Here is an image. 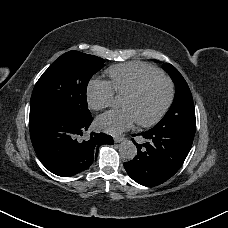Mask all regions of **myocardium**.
<instances>
[{
    "label": "myocardium",
    "mask_w": 228,
    "mask_h": 228,
    "mask_svg": "<svg viewBox=\"0 0 228 228\" xmlns=\"http://www.w3.org/2000/svg\"><path fill=\"white\" fill-rule=\"evenodd\" d=\"M158 81L164 82L167 86L166 98H165L161 108L159 109V111L153 118H151L148 121H138V124L140 126L150 127V126L155 125L156 123H158L161 120V118L166 113V111L169 108L170 103L172 101L173 85H172L171 81L169 79H167L166 77L159 76V77L151 78V79L144 81L134 92L127 95V98H137L148 86H150L151 84L158 82Z\"/></svg>",
    "instance_id": "f54148a6"
}]
</instances>
